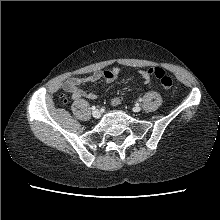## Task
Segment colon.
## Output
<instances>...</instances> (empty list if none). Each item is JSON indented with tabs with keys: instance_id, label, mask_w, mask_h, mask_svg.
Wrapping results in <instances>:
<instances>
[{
	"instance_id": "1",
	"label": "colon",
	"mask_w": 220,
	"mask_h": 220,
	"mask_svg": "<svg viewBox=\"0 0 220 220\" xmlns=\"http://www.w3.org/2000/svg\"><path fill=\"white\" fill-rule=\"evenodd\" d=\"M146 73L149 77H155L159 80L161 86L168 90L172 87L173 81L170 76H168L164 70L157 68V67H150L146 70ZM117 98V97H116ZM115 99V98H114ZM113 105H117L116 100H112Z\"/></svg>"
}]
</instances>
